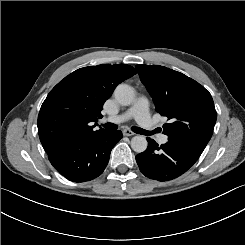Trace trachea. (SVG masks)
<instances>
[{"label":"trachea","mask_w":245,"mask_h":245,"mask_svg":"<svg viewBox=\"0 0 245 245\" xmlns=\"http://www.w3.org/2000/svg\"><path fill=\"white\" fill-rule=\"evenodd\" d=\"M103 126L105 129H108V130H116L118 128V126L116 124H113V123H106ZM131 129L133 132H135L137 134H143L146 136H150V135L158 132V131H156V129L154 131H147V130H144L142 128L136 127V126H133Z\"/></svg>","instance_id":"3493384b"}]
</instances>
